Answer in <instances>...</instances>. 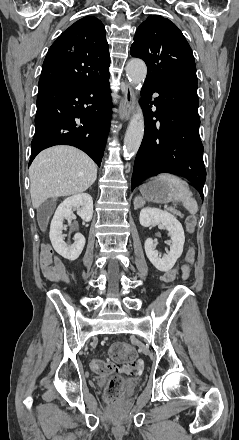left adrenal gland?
Wrapping results in <instances>:
<instances>
[{"instance_id":"obj_1","label":"left adrenal gland","mask_w":239,"mask_h":440,"mask_svg":"<svg viewBox=\"0 0 239 440\" xmlns=\"http://www.w3.org/2000/svg\"><path fill=\"white\" fill-rule=\"evenodd\" d=\"M134 206H135V208H138V206H136V200H135V202H134Z\"/></svg>"}]
</instances>
